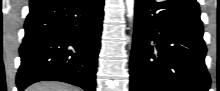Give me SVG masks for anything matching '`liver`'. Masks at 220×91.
<instances>
[{
  "label": "liver",
  "instance_id": "6515ba94",
  "mask_svg": "<svg viewBox=\"0 0 220 91\" xmlns=\"http://www.w3.org/2000/svg\"><path fill=\"white\" fill-rule=\"evenodd\" d=\"M26 91H80L73 86L59 82H41L31 85Z\"/></svg>",
  "mask_w": 220,
  "mask_h": 91
}]
</instances>
